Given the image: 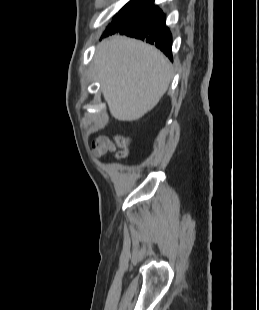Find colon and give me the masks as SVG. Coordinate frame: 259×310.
<instances>
[{
    "instance_id": "5ec220e1",
    "label": "colon",
    "mask_w": 259,
    "mask_h": 310,
    "mask_svg": "<svg viewBox=\"0 0 259 310\" xmlns=\"http://www.w3.org/2000/svg\"><path fill=\"white\" fill-rule=\"evenodd\" d=\"M127 143H128V140H127V139H125V138H120V139H119V144H120L121 146L125 147V146L127 145ZM124 156H125V153L122 152V153L120 154V157L122 158V157H124Z\"/></svg>"
}]
</instances>
